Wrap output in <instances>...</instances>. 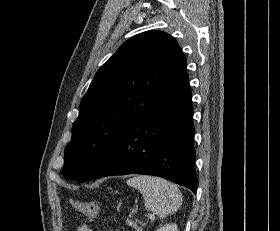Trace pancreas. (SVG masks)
<instances>
[{"label": "pancreas", "instance_id": "pancreas-1", "mask_svg": "<svg viewBox=\"0 0 280 231\" xmlns=\"http://www.w3.org/2000/svg\"><path fill=\"white\" fill-rule=\"evenodd\" d=\"M137 221H139V219H135V221H132V219H129V217L126 219V223H128V225H131V227H134V229H137V231H142V227L143 225H146V223L139 221L140 225H137Z\"/></svg>", "mask_w": 280, "mask_h": 231}]
</instances>
